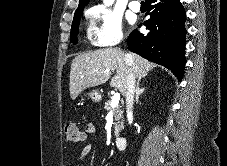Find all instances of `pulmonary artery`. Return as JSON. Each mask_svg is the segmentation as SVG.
Returning a JSON list of instances; mask_svg holds the SVG:
<instances>
[{"instance_id":"e3ab8cb5","label":"pulmonary artery","mask_w":227,"mask_h":166,"mask_svg":"<svg viewBox=\"0 0 227 166\" xmlns=\"http://www.w3.org/2000/svg\"><path fill=\"white\" fill-rule=\"evenodd\" d=\"M129 8L134 11V12H138L140 11V3L138 0H132L130 3H129Z\"/></svg>"}]
</instances>
